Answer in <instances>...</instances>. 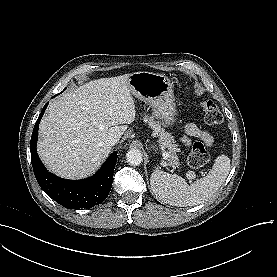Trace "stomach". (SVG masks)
Returning <instances> with one entry per match:
<instances>
[{"label":"stomach","mask_w":277,"mask_h":277,"mask_svg":"<svg viewBox=\"0 0 277 277\" xmlns=\"http://www.w3.org/2000/svg\"><path fill=\"white\" fill-rule=\"evenodd\" d=\"M128 86L132 95L149 104L153 114L164 126L176 122L173 84L164 74L140 71L129 76ZM152 148L156 150V146Z\"/></svg>","instance_id":"obj_1"}]
</instances>
